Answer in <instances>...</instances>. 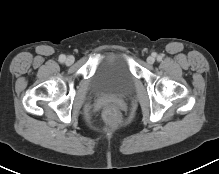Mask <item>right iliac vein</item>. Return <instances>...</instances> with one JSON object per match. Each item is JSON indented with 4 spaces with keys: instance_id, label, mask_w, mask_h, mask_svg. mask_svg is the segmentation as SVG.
Listing matches in <instances>:
<instances>
[{
    "instance_id": "right-iliac-vein-1",
    "label": "right iliac vein",
    "mask_w": 219,
    "mask_h": 174,
    "mask_svg": "<svg viewBox=\"0 0 219 174\" xmlns=\"http://www.w3.org/2000/svg\"><path fill=\"white\" fill-rule=\"evenodd\" d=\"M65 62H66L67 65H71L74 62V58L72 56H68L66 58Z\"/></svg>"
}]
</instances>
